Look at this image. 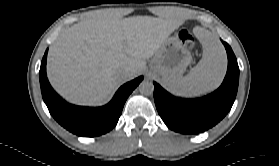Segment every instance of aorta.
Returning a JSON list of instances; mask_svg holds the SVG:
<instances>
[{
    "label": "aorta",
    "instance_id": "762f6f07",
    "mask_svg": "<svg viewBox=\"0 0 279 166\" xmlns=\"http://www.w3.org/2000/svg\"><path fill=\"white\" fill-rule=\"evenodd\" d=\"M139 91L143 95H150L154 91V85L151 81L145 79L140 83Z\"/></svg>",
    "mask_w": 279,
    "mask_h": 166
}]
</instances>
